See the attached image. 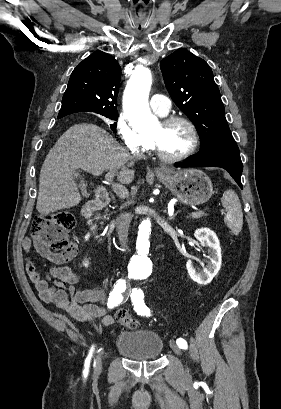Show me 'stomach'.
Here are the masks:
<instances>
[{"mask_svg":"<svg viewBox=\"0 0 281 409\" xmlns=\"http://www.w3.org/2000/svg\"><path fill=\"white\" fill-rule=\"evenodd\" d=\"M157 176L185 205H203L213 194L209 176L197 168H182Z\"/></svg>","mask_w":281,"mask_h":409,"instance_id":"0dacf381","label":"stomach"}]
</instances>
